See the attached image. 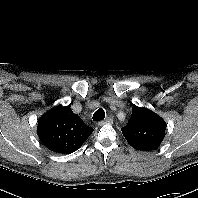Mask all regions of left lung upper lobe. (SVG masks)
Instances as JSON below:
<instances>
[{
	"instance_id": "left-lung-upper-lobe-1",
	"label": "left lung upper lobe",
	"mask_w": 198,
	"mask_h": 198,
	"mask_svg": "<svg viewBox=\"0 0 198 198\" xmlns=\"http://www.w3.org/2000/svg\"><path fill=\"white\" fill-rule=\"evenodd\" d=\"M166 126L165 121L153 111L134 105L132 115L121 131L134 149L151 151L160 146Z\"/></svg>"
}]
</instances>
